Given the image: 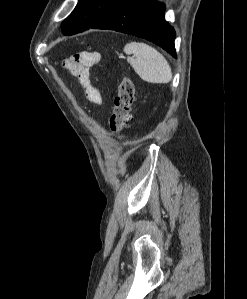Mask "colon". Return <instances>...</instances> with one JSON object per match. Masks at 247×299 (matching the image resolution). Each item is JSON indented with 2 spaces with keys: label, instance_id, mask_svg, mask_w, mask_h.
<instances>
[{
  "label": "colon",
  "instance_id": "5ec220e1",
  "mask_svg": "<svg viewBox=\"0 0 247 299\" xmlns=\"http://www.w3.org/2000/svg\"><path fill=\"white\" fill-rule=\"evenodd\" d=\"M134 96L135 88L132 80L128 77H123L118 86L113 112L109 120V129L113 134H120L128 127Z\"/></svg>",
  "mask_w": 247,
  "mask_h": 299
}]
</instances>
